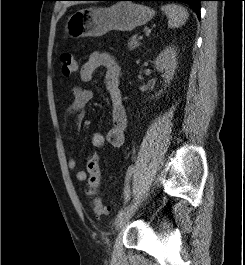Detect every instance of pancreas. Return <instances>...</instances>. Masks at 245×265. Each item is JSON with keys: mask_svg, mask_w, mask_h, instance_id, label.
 I'll return each mask as SVG.
<instances>
[{"mask_svg": "<svg viewBox=\"0 0 245 265\" xmlns=\"http://www.w3.org/2000/svg\"><path fill=\"white\" fill-rule=\"evenodd\" d=\"M139 46H140V42H139L137 35H133L128 41V49L132 51L138 48Z\"/></svg>", "mask_w": 245, "mask_h": 265, "instance_id": "1", "label": "pancreas"}]
</instances>
